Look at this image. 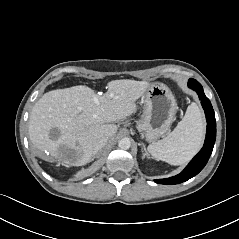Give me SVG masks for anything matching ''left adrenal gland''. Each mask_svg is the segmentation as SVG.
Segmentation results:
<instances>
[{
    "label": "left adrenal gland",
    "instance_id": "a2214340",
    "mask_svg": "<svg viewBox=\"0 0 239 239\" xmlns=\"http://www.w3.org/2000/svg\"><path fill=\"white\" fill-rule=\"evenodd\" d=\"M142 146H143V149H144V151H145V153H143V155L145 156V155H148V153H147V151H146V147H145V145L142 143Z\"/></svg>",
    "mask_w": 239,
    "mask_h": 239
}]
</instances>
